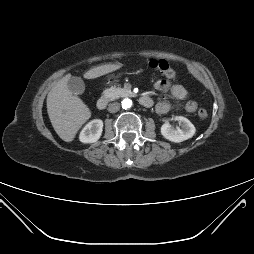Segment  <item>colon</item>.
Listing matches in <instances>:
<instances>
[{"instance_id": "1", "label": "colon", "mask_w": 254, "mask_h": 254, "mask_svg": "<svg viewBox=\"0 0 254 254\" xmlns=\"http://www.w3.org/2000/svg\"><path fill=\"white\" fill-rule=\"evenodd\" d=\"M149 66L167 77L168 79H175L177 77L176 71L171 67L168 61L163 59L150 60ZM198 116L201 120H205L208 117V112L201 108L198 111Z\"/></svg>"}]
</instances>
